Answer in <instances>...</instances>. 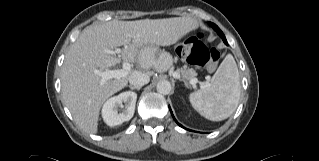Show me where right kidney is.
Instances as JSON below:
<instances>
[{"label":"right kidney","instance_id":"ca27d5eb","mask_svg":"<svg viewBox=\"0 0 319 161\" xmlns=\"http://www.w3.org/2000/svg\"><path fill=\"white\" fill-rule=\"evenodd\" d=\"M137 94L132 91L120 93L108 99L102 108V117L109 126L120 125L129 121L135 110ZM119 107L124 108L122 112H118Z\"/></svg>","mask_w":319,"mask_h":161}]
</instances>
